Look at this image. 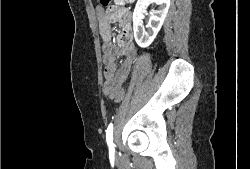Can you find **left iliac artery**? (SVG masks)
I'll return each instance as SVG.
<instances>
[{"instance_id":"obj_1","label":"left iliac artery","mask_w":250,"mask_h":169,"mask_svg":"<svg viewBox=\"0 0 250 169\" xmlns=\"http://www.w3.org/2000/svg\"><path fill=\"white\" fill-rule=\"evenodd\" d=\"M106 141L109 147V151L115 150L114 146L115 144L113 143V124L110 123L107 130H106Z\"/></svg>"}]
</instances>
